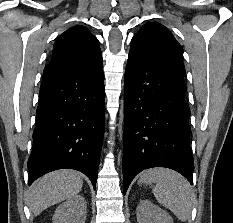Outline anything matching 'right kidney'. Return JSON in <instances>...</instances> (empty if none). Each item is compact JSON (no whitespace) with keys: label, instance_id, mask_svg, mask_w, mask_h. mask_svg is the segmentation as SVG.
<instances>
[{"label":"right kidney","instance_id":"obj_1","mask_svg":"<svg viewBox=\"0 0 233 223\" xmlns=\"http://www.w3.org/2000/svg\"><path fill=\"white\" fill-rule=\"evenodd\" d=\"M86 209L85 197L72 195L55 209L52 223H85Z\"/></svg>","mask_w":233,"mask_h":223}]
</instances>
